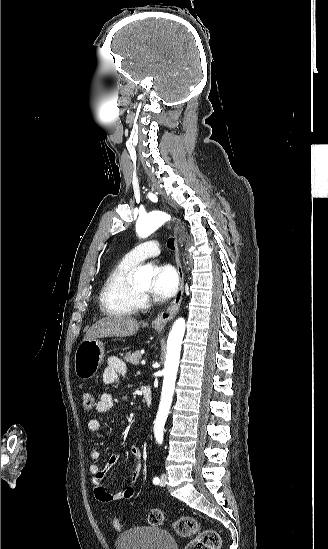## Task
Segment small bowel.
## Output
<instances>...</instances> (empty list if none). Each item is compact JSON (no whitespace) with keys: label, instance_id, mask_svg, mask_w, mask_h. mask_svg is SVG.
<instances>
[{"label":"small bowel","instance_id":"c3829d8e","mask_svg":"<svg viewBox=\"0 0 328 549\" xmlns=\"http://www.w3.org/2000/svg\"><path fill=\"white\" fill-rule=\"evenodd\" d=\"M127 369L124 362L117 356H110L107 361V366L103 370L102 380L106 385L114 384L119 375H124ZM114 405V398L109 393H103L98 402L96 403V411L99 413L108 412ZM87 428L90 432H98L101 428V423L98 419H90L87 423ZM130 454L134 460V466L131 475V482L128 486L120 490H112L108 488L104 482L105 474L118 462L120 453L114 451L104 468H101L98 461L101 456V452L98 449L90 451V465L89 473L91 476V482L94 487V494L98 501L102 503H111L120 500H129L134 496L135 488L134 484L140 477L142 471V451L136 444L130 446Z\"/></svg>","mask_w":328,"mask_h":549}]
</instances>
